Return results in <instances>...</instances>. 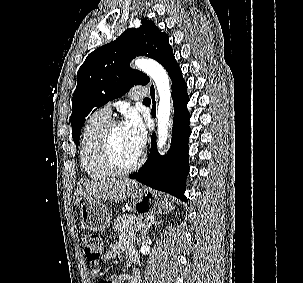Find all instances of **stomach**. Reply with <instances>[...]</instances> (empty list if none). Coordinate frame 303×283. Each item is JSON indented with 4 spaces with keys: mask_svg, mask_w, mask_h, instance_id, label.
Listing matches in <instances>:
<instances>
[{
    "mask_svg": "<svg viewBox=\"0 0 303 283\" xmlns=\"http://www.w3.org/2000/svg\"><path fill=\"white\" fill-rule=\"evenodd\" d=\"M135 209L145 214H161L172 210L171 199L147 188H137L132 193ZM82 225L91 231L102 232L110 226L111 212L102 201L86 200L80 208Z\"/></svg>",
    "mask_w": 303,
    "mask_h": 283,
    "instance_id": "stomach-1",
    "label": "stomach"
}]
</instances>
